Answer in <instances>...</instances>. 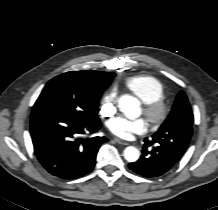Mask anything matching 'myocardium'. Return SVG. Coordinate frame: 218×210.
<instances>
[{"label": "myocardium", "instance_id": "myocardium-1", "mask_svg": "<svg viewBox=\"0 0 218 210\" xmlns=\"http://www.w3.org/2000/svg\"><path fill=\"white\" fill-rule=\"evenodd\" d=\"M168 112V105L162 99L144 103V114L154 126L162 124L166 120Z\"/></svg>", "mask_w": 218, "mask_h": 210}]
</instances>
